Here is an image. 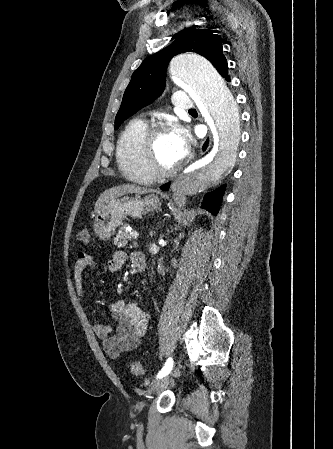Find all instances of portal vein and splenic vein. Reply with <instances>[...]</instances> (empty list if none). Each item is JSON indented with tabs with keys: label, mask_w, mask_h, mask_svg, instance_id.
Segmentation results:
<instances>
[{
	"label": "portal vein and splenic vein",
	"mask_w": 333,
	"mask_h": 449,
	"mask_svg": "<svg viewBox=\"0 0 333 449\" xmlns=\"http://www.w3.org/2000/svg\"><path fill=\"white\" fill-rule=\"evenodd\" d=\"M131 236H132V238L137 239L139 236V233L136 231H133V232H131Z\"/></svg>",
	"instance_id": "obj_1"
}]
</instances>
